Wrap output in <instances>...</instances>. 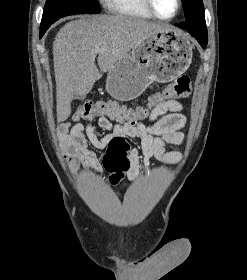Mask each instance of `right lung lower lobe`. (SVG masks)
<instances>
[{
	"label": "right lung lower lobe",
	"mask_w": 247,
	"mask_h": 280,
	"mask_svg": "<svg viewBox=\"0 0 247 280\" xmlns=\"http://www.w3.org/2000/svg\"><path fill=\"white\" fill-rule=\"evenodd\" d=\"M49 27H40V38L44 35V33L46 32V30L48 29Z\"/></svg>",
	"instance_id": "98d812e1"
}]
</instances>
